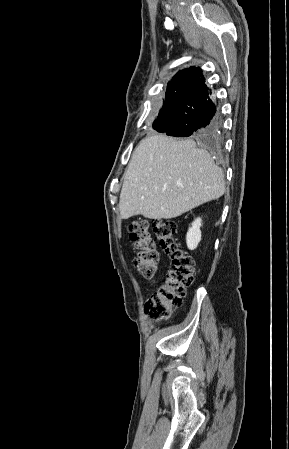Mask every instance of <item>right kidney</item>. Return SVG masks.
I'll use <instances>...</instances> for the list:
<instances>
[{
	"mask_svg": "<svg viewBox=\"0 0 289 449\" xmlns=\"http://www.w3.org/2000/svg\"><path fill=\"white\" fill-rule=\"evenodd\" d=\"M202 226V219L196 218L192 224L191 227L188 229L187 235H186V242L187 247L190 250H194L198 243L201 241V231L200 227Z\"/></svg>",
	"mask_w": 289,
	"mask_h": 449,
	"instance_id": "obj_1",
	"label": "right kidney"
}]
</instances>
